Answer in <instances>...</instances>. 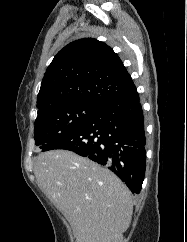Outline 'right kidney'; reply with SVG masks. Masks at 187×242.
<instances>
[{
  "label": "right kidney",
  "instance_id": "1",
  "mask_svg": "<svg viewBox=\"0 0 187 242\" xmlns=\"http://www.w3.org/2000/svg\"><path fill=\"white\" fill-rule=\"evenodd\" d=\"M113 242H123V237H122V235H121L118 239L114 240Z\"/></svg>",
  "mask_w": 187,
  "mask_h": 242
}]
</instances>
